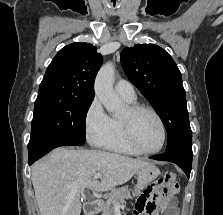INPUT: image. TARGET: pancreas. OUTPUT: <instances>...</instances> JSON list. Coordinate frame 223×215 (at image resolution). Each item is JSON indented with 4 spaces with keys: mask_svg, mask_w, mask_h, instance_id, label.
<instances>
[{
    "mask_svg": "<svg viewBox=\"0 0 223 215\" xmlns=\"http://www.w3.org/2000/svg\"><path fill=\"white\" fill-rule=\"evenodd\" d=\"M134 189H129L128 185H123V187H117L114 189L112 193H110L107 201L103 204H107V207H103L106 209V212H103L102 215H114V203H123L125 199L129 196V199H132L131 196H135L134 194L131 195V191L133 192Z\"/></svg>",
    "mask_w": 223,
    "mask_h": 215,
    "instance_id": "obj_1",
    "label": "pancreas"
}]
</instances>
